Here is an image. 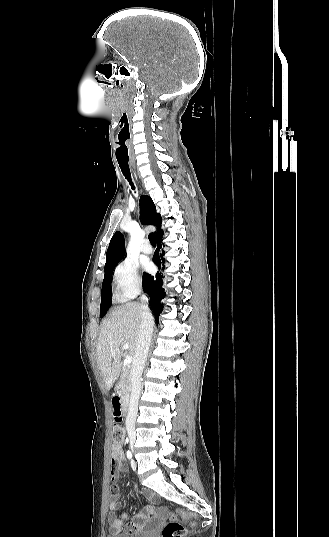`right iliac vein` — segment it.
I'll list each match as a JSON object with an SVG mask.
<instances>
[{"label":"right iliac vein","mask_w":329,"mask_h":537,"mask_svg":"<svg viewBox=\"0 0 329 537\" xmlns=\"http://www.w3.org/2000/svg\"><path fill=\"white\" fill-rule=\"evenodd\" d=\"M134 441H135V438L131 436V437H130V443H131V445H133Z\"/></svg>","instance_id":"1"}]
</instances>
